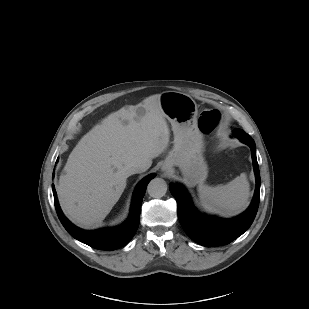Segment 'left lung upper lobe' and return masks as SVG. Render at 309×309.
<instances>
[{
  "instance_id": "1",
  "label": "left lung upper lobe",
  "mask_w": 309,
  "mask_h": 309,
  "mask_svg": "<svg viewBox=\"0 0 309 309\" xmlns=\"http://www.w3.org/2000/svg\"><path fill=\"white\" fill-rule=\"evenodd\" d=\"M236 131H239L241 133H245L242 129H236Z\"/></svg>"
}]
</instances>
